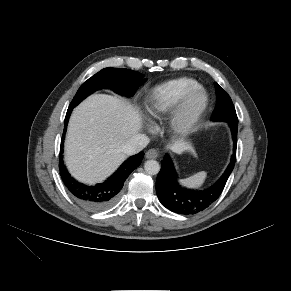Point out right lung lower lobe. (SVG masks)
<instances>
[{
    "instance_id": "98d812e1",
    "label": "right lung lower lobe",
    "mask_w": 291,
    "mask_h": 291,
    "mask_svg": "<svg viewBox=\"0 0 291 291\" xmlns=\"http://www.w3.org/2000/svg\"><path fill=\"white\" fill-rule=\"evenodd\" d=\"M72 109L71 107L68 108L65 117L64 132L60 148V175L64 185L80 205L90 211L105 210L116 202L125 180L131 172L141 164L144 153L140 152L127 159L110 178L102 183L91 186L79 183L72 178L66 170L62 156L63 142Z\"/></svg>"
}]
</instances>
